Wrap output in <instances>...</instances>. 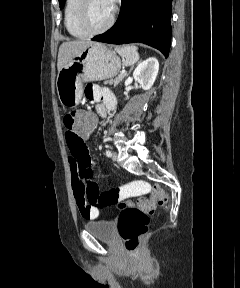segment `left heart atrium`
Segmentation results:
<instances>
[{"instance_id":"39dd6f15","label":"left heart atrium","mask_w":240,"mask_h":288,"mask_svg":"<svg viewBox=\"0 0 240 288\" xmlns=\"http://www.w3.org/2000/svg\"><path fill=\"white\" fill-rule=\"evenodd\" d=\"M104 1L106 2V4H107L111 9H113L115 0H104Z\"/></svg>"}]
</instances>
